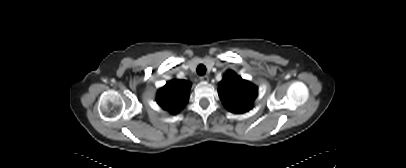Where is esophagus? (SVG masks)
I'll list each match as a JSON object with an SVG mask.
<instances>
[{
	"label": "esophagus",
	"mask_w": 406,
	"mask_h": 168,
	"mask_svg": "<svg viewBox=\"0 0 406 168\" xmlns=\"http://www.w3.org/2000/svg\"><path fill=\"white\" fill-rule=\"evenodd\" d=\"M200 80L202 81V82H208L209 81V77L207 76V75H204V76H201L200 77Z\"/></svg>",
	"instance_id": "obj_1"
}]
</instances>
